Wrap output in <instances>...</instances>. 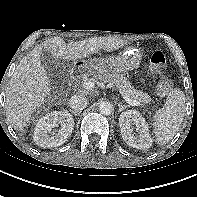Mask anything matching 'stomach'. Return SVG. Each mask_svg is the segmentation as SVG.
Here are the masks:
<instances>
[{
	"mask_svg": "<svg viewBox=\"0 0 197 197\" xmlns=\"http://www.w3.org/2000/svg\"><path fill=\"white\" fill-rule=\"evenodd\" d=\"M142 53L134 47H126L123 52L117 56L108 58L90 59L78 63L82 70L90 73L119 72L127 73L140 67Z\"/></svg>",
	"mask_w": 197,
	"mask_h": 197,
	"instance_id": "0dacf381",
	"label": "stomach"
}]
</instances>
